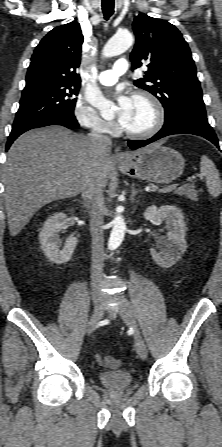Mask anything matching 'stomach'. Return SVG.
Segmentation results:
<instances>
[{
  "instance_id": "obj_1",
  "label": "stomach",
  "mask_w": 222,
  "mask_h": 447,
  "mask_svg": "<svg viewBox=\"0 0 222 447\" xmlns=\"http://www.w3.org/2000/svg\"><path fill=\"white\" fill-rule=\"evenodd\" d=\"M120 171L130 177L155 183H169L184 170L185 160L176 150L152 144L117 162Z\"/></svg>"
}]
</instances>
